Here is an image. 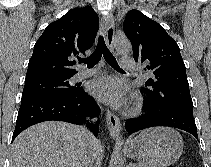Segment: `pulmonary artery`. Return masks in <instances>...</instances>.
<instances>
[{
  "label": "pulmonary artery",
  "instance_id": "e3ab8cb5",
  "mask_svg": "<svg viewBox=\"0 0 211 167\" xmlns=\"http://www.w3.org/2000/svg\"><path fill=\"white\" fill-rule=\"evenodd\" d=\"M120 65L123 69L131 70L134 68L135 62L132 58L128 56H122L120 59ZM97 71V69H91V70H79L78 73L75 75L76 80H82L86 77H88L91 74H94Z\"/></svg>",
  "mask_w": 211,
  "mask_h": 167
}]
</instances>
